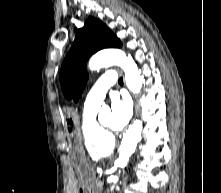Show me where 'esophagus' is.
Returning a JSON list of instances; mask_svg holds the SVG:
<instances>
[{
  "label": "esophagus",
  "mask_w": 221,
  "mask_h": 193,
  "mask_svg": "<svg viewBox=\"0 0 221 193\" xmlns=\"http://www.w3.org/2000/svg\"><path fill=\"white\" fill-rule=\"evenodd\" d=\"M133 99H134V106H135V113H134V117H133V121L135 120V117L137 115V105H136V100H135V97L133 96Z\"/></svg>",
  "instance_id": "obj_1"
}]
</instances>
